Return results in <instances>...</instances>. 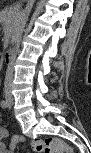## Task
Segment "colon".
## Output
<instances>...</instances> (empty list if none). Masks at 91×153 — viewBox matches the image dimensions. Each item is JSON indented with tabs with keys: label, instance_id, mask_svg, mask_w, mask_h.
<instances>
[{
	"label": "colon",
	"instance_id": "obj_1",
	"mask_svg": "<svg viewBox=\"0 0 91 153\" xmlns=\"http://www.w3.org/2000/svg\"><path fill=\"white\" fill-rule=\"evenodd\" d=\"M24 145L22 139H18L15 143V147ZM30 150L36 153H72V148L69 147L60 138H44L34 139L29 144Z\"/></svg>",
	"mask_w": 91,
	"mask_h": 153
}]
</instances>
